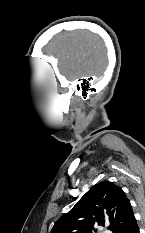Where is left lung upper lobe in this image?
I'll list each match as a JSON object with an SVG mask.
<instances>
[{
  "instance_id": "5c2ea615",
  "label": "left lung upper lobe",
  "mask_w": 145,
  "mask_h": 233,
  "mask_svg": "<svg viewBox=\"0 0 145 233\" xmlns=\"http://www.w3.org/2000/svg\"><path fill=\"white\" fill-rule=\"evenodd\" d=\"M135 220L123 190L112 182L102 181L91 187L50 233H92L96 232L95 225L105 223L113 233H126Z\"/></svg>"
}]
</instances>
